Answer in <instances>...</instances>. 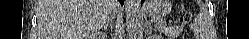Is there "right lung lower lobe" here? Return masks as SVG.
I'll use <instances>...</instances> for the list:
<instances>
[{"label":"right lung lower lobe","mask_w":249,"mask_h":39,"mask_svg":"<svg viewBox=\"0 0 249 39\" xmlns=\"http://www.w3.org/2000/svg\"><path fill=\"white\" fill-rule=\"evenodd\" d=\"M120 1V3L123 5V3H124V0H119Z\"/></svg>","instance_id":"98d812e1"}]
</instances>
